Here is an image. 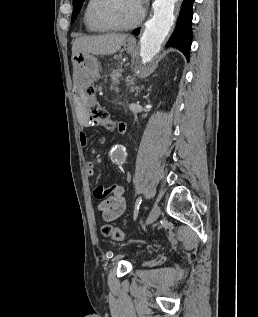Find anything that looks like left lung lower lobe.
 Here are the masks:
<instances>
[{
  "label": "left lung lower lobe",
  "mask_w": 258,
  "mask_h": 317,
  "mask_svg": "<svg viewBox=\"0 0 258 317\" xmlns=\"http://www.w3.org/2000/svg\"><path fill=\"white\" fill-rule=\"evenodd\" d=\"M195 0H184L181 5L175 30L166 44V47H176L189 61L190 47L192 42L191 23L193 18L192 6ZM139 30L135 31L138 34Z\"/></svg>",
  "instance_id": "obj_1"
}]
</instances>
